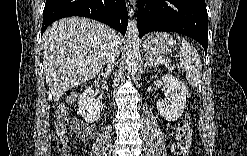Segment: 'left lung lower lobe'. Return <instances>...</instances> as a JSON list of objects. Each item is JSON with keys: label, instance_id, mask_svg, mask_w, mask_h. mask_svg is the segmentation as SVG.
<instances>
[{"label": "left lung lower lobe", "instance_id": "0a47b994", "mask_svg": "<svg viewBox=\"0 0 247 156\" xmlns=\"http://www.w3.org/2000/svg\"><path fill=\"white\" fill-rule=\"evenodd\" d=\"M139 36L153 31L177 32L198 41L207 53L205 0H138Z\"/></svg>", "mask_w": 247, "mask_h": 156}]
</instances>
